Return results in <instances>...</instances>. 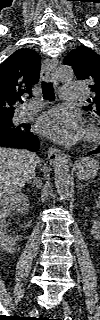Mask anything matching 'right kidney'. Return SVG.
<instances>
[{"label":"right kidney","mask_w":100,"mask_h":320,"mask_svg":"<svg viewBox=\"0 0 100 320\" xmlns=\"http://www.w3.org/2000/svg\"><path fill=\"white\" fill-rule=\"evenodd\" d=\"M0 209V246L6 252H12L14 246L20 241V236L7 235L9 223L7 218L12 211H18L26 214L29 208L28 197L23 193H15L9 197L2 199Z\"/></svg>","instance_id":"obj_1"}]
</instances>
